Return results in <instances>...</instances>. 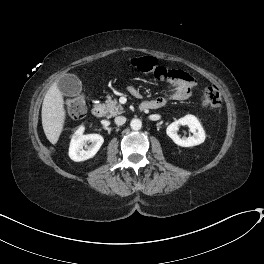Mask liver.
I'll list each match as a JSON object with an SVG mask.
<instances>
[{
  "label": "liver",
  "instance_id": "obj_1",
  "mask_svg": "<svg viewBox=\"0 0 264 264\" xmlns=\"http://www.w3.org/2000/svg\"><path fill=\"white\" fill-rule=\"evenodd\" d=\"M42 126L47 139L56 144L63 130L66 113L63 94L58 88V81L48 89L42 105Z\"/></svg>",
  "mask_w": 264,
  "mask_h": 264
}]
</instances>
